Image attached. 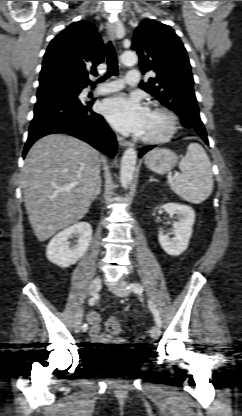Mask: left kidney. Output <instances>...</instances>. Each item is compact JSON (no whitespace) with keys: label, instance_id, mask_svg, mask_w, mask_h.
<instances>
[{"label":"left kidney","instance_id":"left-kidney-1","mask_svg":"<svg viewBox=\"0 0 242 416\" xmlns=\"http://www.w3.org/2000/svg\"><path fill=\"white\" fill-rule=\"evenodd\" d=\"M160 208H163L168 214H176L178 221L173 223L175 228L174 237L170 238L164 235L160 230L158 240L163 250L171 255L178 256L182 254L189 245V239L192 235V226L195 220V212L192 207L179 203H167Z\"/></svg>","mask_w":242,"mask_h":416}]
</instances>
